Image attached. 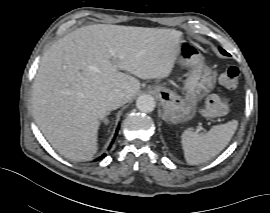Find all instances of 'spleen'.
Wrapping results in <instances>:
<instances>
[{"label": "spleen", "mask_w": 270, "mask_h": 213, "mask_svg": "<svg viewBox=\"0 0 270 213\" xmlns=\"http://www.w3.org/2000/svg\"><path fill=\"white\" fill-rule=\"evenodd\" d=\"M238 126L237 120L213 126L207 133L185 130L181 135L184 157L188 164L204 163L218 155L230 142Z\"/></svg>", "instance_id": "1"}]
</instances>
